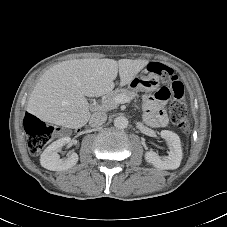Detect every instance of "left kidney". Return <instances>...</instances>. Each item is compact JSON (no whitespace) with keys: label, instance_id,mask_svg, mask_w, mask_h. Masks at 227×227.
Masks as SVG:
<instances>
[{"label":"left kidney","instance_id":"1","mask_svg":"<svg viewBox=\"0 0 227 227\" xmlns=\"http://www.w3.org/2000/svg\"><path fill=\"white\" fill-rule=\"evenodd\" d=\"M160 135L169 145L168 156L161 157L156 152L148 151L145 154V159L159 169H177L183 156L180 138L176 133L168 130H162Z\"/></svg>","mask_w":227,"mask_h":227}]
</instances>
